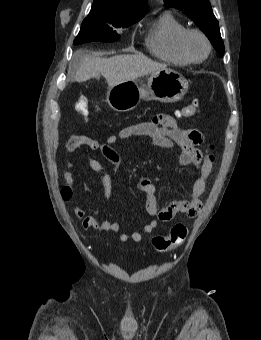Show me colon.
Masks as SVG:
<instances>
[{
    "label": "colon",
    "mask_w": 261,
    "mask_h": 340,
    "mask_svg": "<svg viewBox=\"0 0 261 340\" xmlns=\"http://www.w3.org/2000/svg\"><path fill=\"white\" fill-rule=\"evenodd\" d=\"M198 101L195 100L193 101L192 104L183 107L179 112V116L183 117H190L196 114L198 110ZM77 110L79 114L83 117H87L89 114V107L88 103L86 100H80L78 101L77 105ZM209 161L212 163L214 160V156L210 155ZM62 195L65 200L70 199L71 197V191L68 188H64L62 190ZM187 237V228L183 224H175L173 225L169 232L166 235H155L153 236L151 243L153 248L160 252H168L175 247L181 245Z\"/></svg>",
    "instance_id": "colon-1"
}]
</instances>
